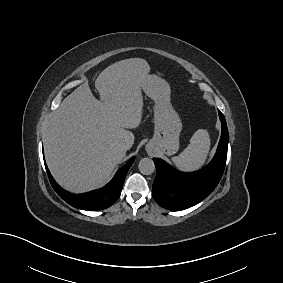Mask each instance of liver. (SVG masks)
Segmentation results:
<instances>
[{
    "label": "liver",
    "instance_id": "liver-1",
    "mask_svg": "<svg viewBox=\"0 0 283 283\" xmlns=\"http://www.w3.org/2000/svg\"><path fill=\"white\" fill-rule=\"evenodd\" d=\"M146 60L130 58L104 69L95 80L101 101L84 83L53 112L44 134L47 165L66 190L83 193L103 186L132 147L142 119Z\"/></svg>",
    "mask_w": 283,
    "mask_h": 283
}]
</instances>
